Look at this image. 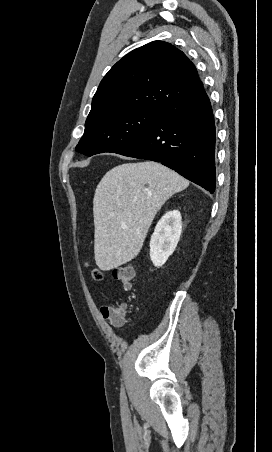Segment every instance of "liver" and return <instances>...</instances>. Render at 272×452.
Instances as JSON below:
<instances>
[{"label": "liver", "mask_w": 272, "mask_h": 452, "mask_svg": "<svg viewBox=\"0 0 272 452\" xmlns=\"http://www.w3.org/2000/svg\"><path fill=\"white\" fill-rule=\"evenodd\" d=\"M189 181L153 161L125 163L101 179L93 199L96 265L109 271L140 252L155 215Z\"/></svg>", "instance_id": "liver-1"}]
</instances>
